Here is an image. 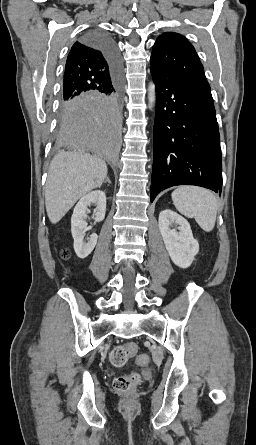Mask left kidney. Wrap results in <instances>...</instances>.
<instances>
[{
  "label": "left kidney",
  "mask_w": 256,
  "mask_h": 445,
  "mask_svg": "<svg viewBox=\"0 0 256 445\" xmlns=\"http://www.w3.org/2000/svg\"><path fill=\"white\" fill-rule=\"evenodd\" d=\"M158 221L171 260L180 268H188L199 251V244L193 237L189 222L169 209L160 212ZM174 225H178L179 232L171 229Z\"/></svg>",
  "instance_id": "obj_1"
}]
</instances>
